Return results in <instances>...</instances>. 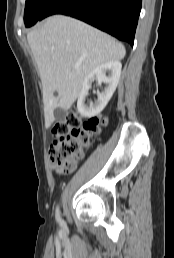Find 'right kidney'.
Masks as SVG:
<instances>
[{
    "instance_id": "1",
    "label": "right kidney",
    "mask_w": 174,
    "mask_h": 258,
    "mask_svg": "<svg viewBox=\"0 0 174 258\" xmlns=\"http://www.w3.org/2000/svg\"><path fill=\"white\" fill-rule=\"evenodd\" d=\"M121 68L122 65L120 61H108L95 68L86 76L77 101V108L82 116L87 118L93 117L105 108L116 90L121 75ZM106 72H109V76H106ZM94 80L103 82L106 84V87L103 92H97L98 100L94 104L86 106L84 101Z\"/></svg>"
}]
</instances>
